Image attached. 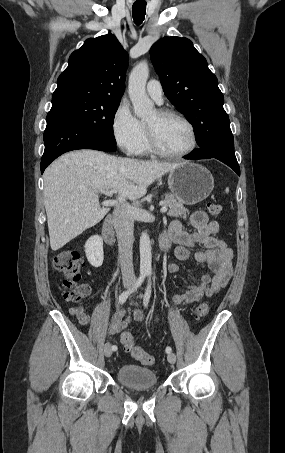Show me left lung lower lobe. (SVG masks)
<instances>
[{"label": "left lung lower lobe", "mask_w": 285, "mask_h": 453, "mask_svg": "<svg viewBox=\"0 0 285 453\" xmlns=\"http://www.w3.org/2000/svg\"><path fill=\"white\" fill-rule=\"evenodd\" d=\"M233 143V140L226 139L212 141L184 156V158L192 160L216 158L231 167L240 176V167L235 156Z\"/></svg>", "instance_id": "1"}]
</instances>
